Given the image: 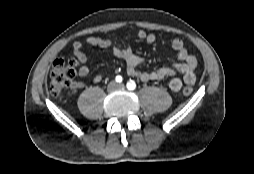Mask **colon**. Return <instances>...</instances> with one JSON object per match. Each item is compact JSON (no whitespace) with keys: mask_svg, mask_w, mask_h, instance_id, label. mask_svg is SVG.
Here are the masks:
<instances>
[{"mask_svg":"<svg viewBox=\"0 0 254 174\" xmlns=\"http://www.w3.org/2000/svg\"><path fill=\"white\" fill-rule=\"evenodd\" d=\"M76 76L73 58L61 56L53 64L50 73V90L53 94L62 93L72 82ZM193 92L191 87H184L182 94L191 95Z\"/></svg>","mask_w":254,"mask_h":174,"instance_id":"colon-1","label":"colon"}]
</instances>
